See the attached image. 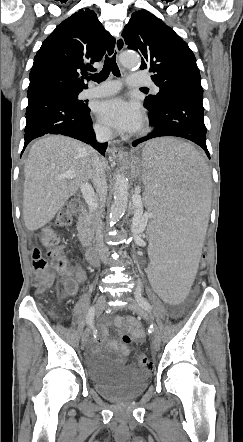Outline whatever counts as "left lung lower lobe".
<instances>
[{
  "label": "left lung lower lobe",
  "instance_id": "0a47b994",
  "mask_svg": "<svg viewBox=\"0 0 243 442\" xmlns=\"http://www.w3.org/2000/svg\"><path fill=\"white\" fill-rule=\"evenodd\" d=\"M203 90L199 86H180L164 98L160 110L150 112V125L154 130L147 136L133 142V146L162 136H176L188 139L201 146L210 158L206 146L204 124Z\"/></svg>",
  "mask_w": 243,
  "mask_h": 442
}]
</instances>
